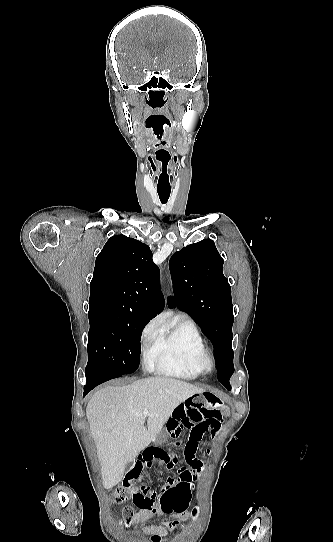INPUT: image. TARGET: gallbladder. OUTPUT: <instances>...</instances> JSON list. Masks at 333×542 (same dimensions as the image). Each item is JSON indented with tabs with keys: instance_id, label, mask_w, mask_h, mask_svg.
I'll use <instances>...</instances> for the list:
<instances>
[{
	"instance_id": "obj_1",
	"label": "gallbladder",
	"mask_w": 333,
	"mask_h": 542,
	"mask_svg": "<svg viewBox=\"0 0 333 542\" xmlns=\"http://www.w3.org/2000/svg\"><path fill=\"white\" fill-rule=\"evenodd\" d=\"M134 462H129V464H126V468H125V472H128V470H130V468H132Z\"/></svg>"
}]
</instances>
